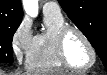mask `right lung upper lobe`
<instances>
[{
  "mask_svg": "<svg viewBox=\"0 0 107 75\" xmlns=\"http://www.w3.org/2000/svg\"><path fill=\"white\" fill-rule=\"evenodd\" d=\"M21 0H0V27L21 23Z\"/></svg>",
  "mask_w": 107,
  "mask_h": 75,
  "instance_id": "1",
  "label": "right lung upper lobe"
}]
</instances>
